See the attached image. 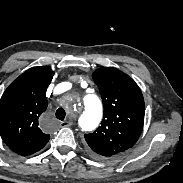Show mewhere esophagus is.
<instances>
[{
    "instance_id": "1",
    "label": "esophagus",
    "mask_w": 183,
    "mask_h": 183,
    "mask_svg": "<svg viewBox=\"0 0 183 183\" xmlns=\"http://www.w3.org/2000/svg\"><path fill=\"white\" fill-rule=\"evenodd\" d=\"M60 125H61V127H69V126L72 125V122H70V121H62L60 123Z\"/></svg>"
}]
</instances>
